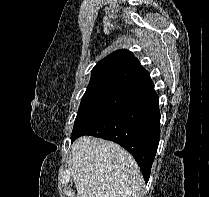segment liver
Returning <instances> with one entry per match:
<instances>
[{
	"instance_id": "liver-1",
	"label": "liver",
	"mask_w": 209,
	"mask_h": 197,
	"mask_svg": "<svg viewBox=\"0 0 209 197\" xmlns=\"http://www.w3.org/2000/svg\"><path fill=\"white\" fill-rule=\"evenodd\" d=\"M71 149L77 197H139L143 186L140 168L120 145L84 136Z\"/></svg>"
}]
</instances>
